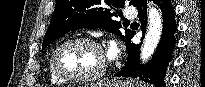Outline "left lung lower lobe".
Masks as SVG:
<instances>
[{
  "label": "left lung lower lobe",
  "mask_w": 205,
  "mask_h": 87,
  "mask_svg": "<svg viewBox=\"0 0 205 87\" xmlns=\"http://www.w3.org/2000/svg\"><path fill=\"white\" fill-rule=\"evenodd\" d=\"M154 2L160 7L163 17L161 40L154 56L146 65L140 64L139 50L141 45H135L132 42L134 33L126 45L128 52L127 64L119 73L115 74V76L139 78L155 87H165L166 71L172 60V54L176 43L175 32L177 31V24L175 21V10L171 0H154ZM135 7L138 10L141 27L143 31H145L147 1L139 0Z\"/></svg>",
  "instance_id": "1"
}]
</instances>
